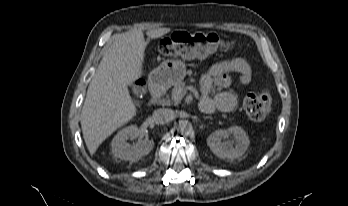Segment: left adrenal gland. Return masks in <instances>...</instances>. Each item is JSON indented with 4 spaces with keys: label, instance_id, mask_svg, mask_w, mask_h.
I'll list each match as a JSON object with an SVG mask.
<instances>
[{
    "label": "left adrenal gland",
    "instance_id": "obj_1",
    "mask_svg": "<svg viewBox=\"0 0 348 206\" xmlns=\"http://www.w3.org/2000/svg\"><path fill=\"white\" fill-rule=\"evenodd\" d=\"M204 119H211V117H209V116H206V117H204Z\"/></svg>",
    "mask_w": 348,
    "mask_h": 206
}]
</instances>
